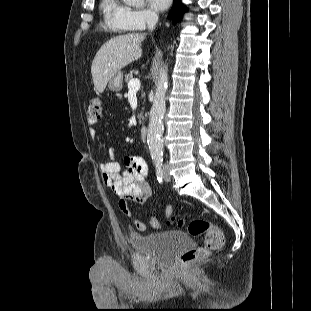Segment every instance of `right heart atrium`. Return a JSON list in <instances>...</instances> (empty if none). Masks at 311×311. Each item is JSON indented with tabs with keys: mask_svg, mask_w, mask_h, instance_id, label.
I'll return each instance as SVG.
<instances>
[{
	"mask_svg": "<svg viewBox=\"0 0 311 311\" xmlns=\"http://www.w3.org/2000/svg\"><path fill=\"white\" fill-rule=\"evenodd\" d=\"M157 20L156 13L148 8L129 9L127 21L132 30L139 31Z\"/></svg>",
	"mask_w": 311,
	"mask_h": 311,
	"instance_id": "d8ad5b80",
	"label": "right heart atrium"
}]
</instances>
